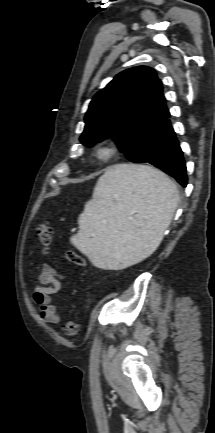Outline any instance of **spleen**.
Segmentation results:
<instances>
[{
    "label": "spleen",
    "mask_w": 215,
    "mask_h": 433,
    "mask_svg": "<svg viewBox=\"0 0 215 433\" xmlns=\"http://www.w3.org/2000/svg\"><path fill=\"white\" fill-rule=\"evenodd\" d=\"M178 202L177 187L163 172L114 165L99 178L70 242L99 268H126L157 249Z\"/></svg>",
    "instance_id": "spleen-1"
}]
</instances>
